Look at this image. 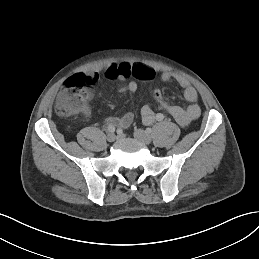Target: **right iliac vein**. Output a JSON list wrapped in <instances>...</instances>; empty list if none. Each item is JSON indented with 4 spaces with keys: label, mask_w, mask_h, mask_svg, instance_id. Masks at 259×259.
Here are the masks:
<instances>
[{
    "label": "right iliac vein",
    "mask_w": 259,
    "mask_h": 259,
    "mask_svg": "<svg viewBox=\"0 0 259 259\" xmlns=\"http://www.w3.org/2000/svg\"><path fill=\"white\" fill-rule=\"evenodd\" d=\"M115 138H116V136H115V134L114 133H108L107 134V140L109 141V142H113V141H115Z\"/></svg>",
    "instance_id": "1"
}]
</instances>
